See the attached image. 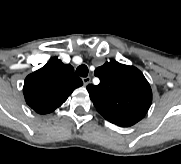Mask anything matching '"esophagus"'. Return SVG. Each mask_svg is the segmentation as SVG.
I'll list each match as a JSON object with an SVG mask.
<instances>
[{"instance_id":"obj_1","label":"esophagus","mask_w":181,"mask_h":164,"mask_svg":"<svg viewBox=\"0 0 181 164\" xmlns=\"http://www.w3.org/2000/svg\"><path fill=\"white\" fill-rule=\"evenodd\" d=\"M82 80L84 85L87 86L91 82V77H84Z\"/></svg>"}]
</instances>
